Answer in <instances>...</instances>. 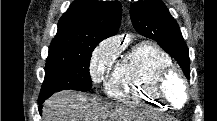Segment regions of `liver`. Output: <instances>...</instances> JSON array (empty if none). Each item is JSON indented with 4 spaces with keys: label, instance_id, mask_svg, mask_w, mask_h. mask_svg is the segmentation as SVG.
Returning a JSON list of instances; mask_svg holds the SVG:
<instances>
[{
    "label": "liver",
    "instance_id": "obj_1",
    "mask_svg": "<svg viewBox=\"0 0 217 121\" xmlns=\"http://www.w3.org/2000/svg\"><path fill=\"white\" fill-rule=\"evenodd\" d=\"M42 115L44 121H134L141 116L132 108L105 104L72 90L53 94L45 102Z\"/></svg>",
    "mask_w": 217,
    "mask_h": 121
}]
</instances>
